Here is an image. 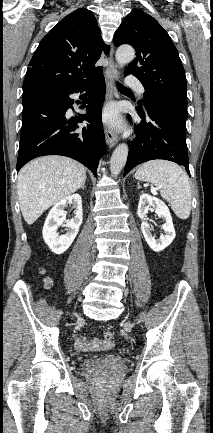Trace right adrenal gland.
<instances>
[{"label":"right adrenal gland","instance_id":"obj_1","mask_svg":"<svg viewBox=\"0 0 213 433\" xmlns=\"http://www.w3.org/2000/svg\"><path fill=\"white\" fill-rule=\"evenodd\" d=\"M81 189H85V182L81 185V187H80Z\"/></svg>","mask_w":213,"mask_h":433}]
</instances>
